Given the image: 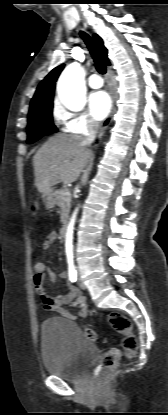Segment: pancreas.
<instances>
[{
    "mask_svg": "<svg viewBox=\"0 0 168 415\" xmlns=\"http://www.w3.org/2000/svg\"><path fill=\"white\" fill-rule=\"evenodd\" d=\"M66 189H59L53 193V197L57 206L61 208L60 221L65 223L71 207V195H65Z\"/></svg>",
    "mask_w": 168,
    "mask_h": 415,
    "instance_id": "obj_1",
    "label": "pancreas"
}]
</instances>
